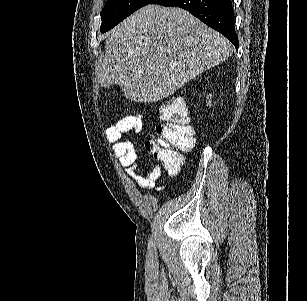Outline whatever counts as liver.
<instances>
[{
  "instance_id": "obj_1",
  "label": "liver",
  "mask_w": 307,
  "mask_h": 301,
  "mask_svg": "<svg viewBox=\"0 0 307 301\" xmlns=\"http://www.w3.org/2000/svg\"><path fill=\"white\" fill-rule=\"evenodd\" d=\"M232 52L223 34L188 10L147 4L107 32L97 80L120 84L134 102H156Z\"/></svg>"
}]
</instances>
